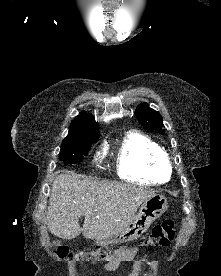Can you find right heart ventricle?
I'll list each match as a JSON object with an SVG mask.
<instances>
[{
  "label": "right heart ventricle",
  "instance_id": "obj_1",
  "mask_svg": "<svg viewBox=\"0 0 221 276\" xmlns=\"http://www.w3.org/2000/svg\"><path fill=\"white\" fill-rule=\"evenodd\" d=\"M162 147L149 136L129 132L117 155V172L121 179L139 184H158L169 180L170 166Z\"/></svg>",
  "mask_w": 221,
  "mask_h": 276
}]
</instances>
